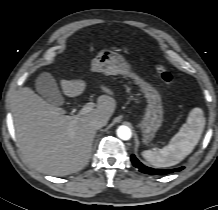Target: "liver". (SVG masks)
Wrapping results in <instances>:
<instances>
[{
	"label": "liver",
	"instance_id": "1",
	"mask_svg": "<svg viewBox=\"0 0 218 210\" xmlns=\"http://www.w3.org/2000/svg\"><path fill=\"white\" fill-rule=\"evenodd\" d=\"M68 97L83 93V80H61ZM104 93L97 107L81 117L64 115L60 107L49 104L31 88L20 90L13 106L14 128L19 146L27 160L39 171L65 176L81 170L89 161L96 129L90 126L95 118L109 120L116 101L113 91L100 86Z\"/></svg>",
	"mask_w": 218,
	"mask_h": 210
}]
</instances>
